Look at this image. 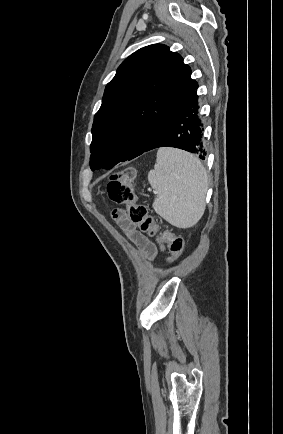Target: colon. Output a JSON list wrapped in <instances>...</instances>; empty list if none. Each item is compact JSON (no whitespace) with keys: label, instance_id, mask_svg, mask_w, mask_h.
Listing matches in <instances>:
<instances>
[{"label":"colon","instance_id":"obj_1","mask_svg":"<svg viewBox=\"0 0 283 434\" xmlns=\"http://www.w3.org/2000/svg\"><path fill=\"white\" fill-rule=\"evenodd\" d=\"M135 175L136 170L133 167H127L111 175L107 184L109 198L117 204L126 206L129 220L137 225L142 232L150 236L159 235L160 240L169 248L168 261L170 263L175 262L184 251V240L169 230L160 231L155 220L148 214L146 207L137 202L132 186Z\"/></svg>","mask_w":283,"mask_h":434}]
</instances>
